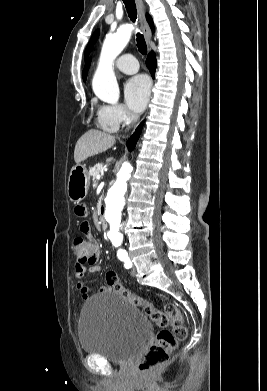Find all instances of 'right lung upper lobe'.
I'll return each mask as SVG.
<instances>
[{
    "instance_id": "right-lung-upper-lobe-1",
    "label": "right lung upper lobe",
    "mask_w": 267,
    "mask_h": 391,
    "mask_svg": "<svg viewBox=\"0 0 267 391\" xmlns=\"http://www.w3.org/2000/svg\"><path fill=\"white\" fill-rule=\"evenodd\" d=\"M147 17V21L152 29V32L154 31V27H153V22H152V19L149 15L146 16ZM89 66H90V61L87 63V65L85 66V69L83 70V79L84 81L86 80V77H87V71L89 69Z\"/></svg>"
}]
</instances>
